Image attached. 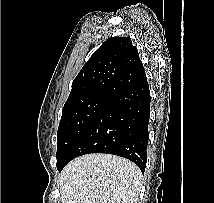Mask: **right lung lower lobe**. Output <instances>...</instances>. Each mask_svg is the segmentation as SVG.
Masks as SVG:
<instances>
[{
	"label": "right lung lower lobe",
	"instance_id": "right-lung-lower-lobe-1",
	"mask_svg": "<svg viewBox=\"0 0 214 203\" xmlns=\"http://www.w3.org/2000/svg\"><path fill=\"white\" fill-rule=\"evenodd\" d=\"M150 92L147 79L113 95L77 140L61 171L72 159L89 153L127 158L144 173L146 168Z\"/></svg>",
	"mask_w": 214,
	"mask_h": 203
}]
</instances>
